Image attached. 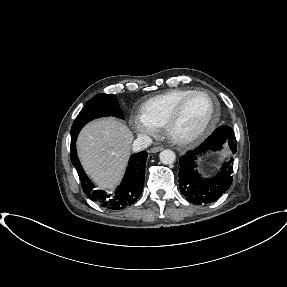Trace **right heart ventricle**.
Listing matches in <instances>:
<instances>
[{"label": "right heart ventricle", "mask_w": 287, "mask_h": 287, "mask_svg": "<svg viewBox=\"0 0 287 287\" xmlns=\"http://www.w3.org/2000/svg\"><path fill=\"white\" fill-rule=\"evenodd\" d=\"M192 89H174L163 94L156 95L145 101L139 112L141 115L157 127H162L167 117L173 112L178 103Z\"/></svg>", "instance_id": "e07e8e85"}]
</instances>
